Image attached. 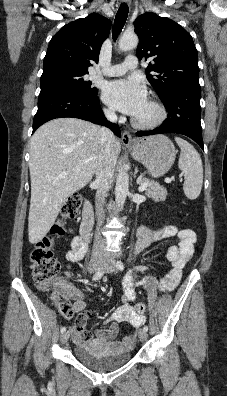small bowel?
Masks as SVG:
<instances>
[{"instance_id":"c3829d8e","label":"small bowel","mask_w":227,"mask_h":396,"mask_svg":"<svg viewBox=\"0 0 227 396\" xmlns=\"http://www.w3.org/2000/svg\"><path fill=\"white\" fill-rule=\"evenodd\" d=\"M178 237L179 243L170 246L167 250V260L171 264L170 270L161 279L158 288L161 291H171L179 283L183 268L191 259L194 253L196 235L190 229H178L174 225H166L157 230H151L146 226H141L137 232L136 251L147 249L152 243ZM87 245L80 237L73 239L71 250L66 254L70 262H78L85 256ZM145 267H139L138 271H144ZM62 287L70 298L74 300L73 313H79L76 324L73 328L74 339L77 343H96L105 345L113 351L130 349L136 340L134 333L126 336L122 340L117 339L119 332L118 323L128 322L135 328H139L145 322L144 313H138L134 307L137 295L134 288V276L130 275L123 282L122 305L117 307L107 319L111 324L106 329H98L93 333L85 327L91 317L89 311H85L87 304L83 293L68 282H62ZM85 311V312H84Z\"/></svg>"}]
</instances>
